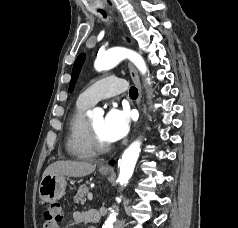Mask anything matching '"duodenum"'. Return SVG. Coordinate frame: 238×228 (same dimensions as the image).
<instances>
[{
	"mask_svg": "<svg viewBox=\"0 0 238 228\" xmlns=\"http://www.w3.org/2000/svg\"><path fill=\"white\" fill-rule=\"evenodd\" d=\"M85 217H86L87 221L97 223L100 221L101 214L98 210L94 209V210H89V211L85 212Z\"/></svg>",
	"mask_w": 238,
	"mask_h": 228,
	"instance_id": "obj_1",
	"label": "duodenum"
}]
</instances>
